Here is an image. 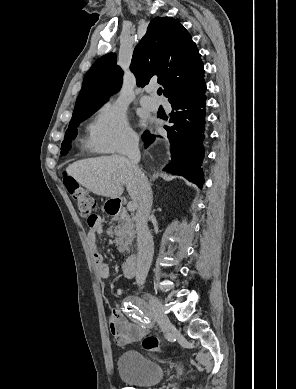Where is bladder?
<instances>
[{"label": "bladder", "instance_id": "31cf9c89", "mask_svg": "<svg viewBox=\"0 0 296 389\" xmlns=\"http://www.w3.org/2000/svg\"><path fill=\"white\" fill-rule=\"evenodd\" d=\"M117 367L123 382L136 387L154 386L165 375L160 364L135 350L123 352L118 358Z\"/></svg>", "mask_w": 296, "mask_h": 389}]
</instances>
